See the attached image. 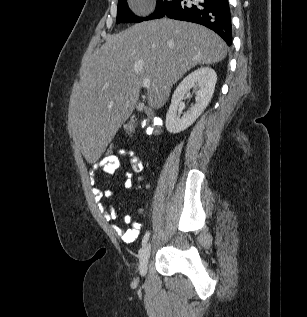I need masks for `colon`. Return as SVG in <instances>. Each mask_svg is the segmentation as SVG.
<instances>
[{"label": "colon", "mask_w": 307, "mask_h": 317, "mask_svg": "<svg viewBox=\"0 0 307 317\" xmlns=\"http://www.w3.org/2000/svg\"><path fill=\"white\" fill-rule=\"evenodd\" d=\"M137 126H141L148 135L155 136L161 133L162 123L149 118L133 119L125 125V132L129 137H134ZM121 149L115 144H108L102 153L101 159L115 158Z\"/></svg>", "instance_id": "obj_1"}]
</instances>
